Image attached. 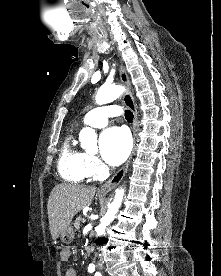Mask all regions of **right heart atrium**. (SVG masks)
<instances>
[{
    "instance_id": "right-heart-atrium-1",
    "label": "right heart atrium",
    "mask_w": 221,
    "mask_h": 276,
    "mask_svg": "<svg viewBox=\"0 0 221 276\" xmlns=\"http://www.w3.org/2000/svg\"><path fill=\"white\" fill-rule=\"evenodd\" d=\"M86 168L89 176L100 175L105 171L104 166L98 158L92 155H86Z\"/></svg>"
}]
</instances>
